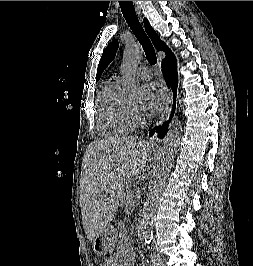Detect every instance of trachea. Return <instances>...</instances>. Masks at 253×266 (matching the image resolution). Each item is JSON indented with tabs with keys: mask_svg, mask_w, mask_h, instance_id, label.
Segmentation results:
<instances>
[{
	"mask_svg": "<svg viewBox=\"0 0 253 266\" xmlns=\"http://www.w3.org/2000/svg\"><path fill=\"white\" fill-rule=\"evenodd\" d=\"M122 14L128 23L130 29L135 34L139 43L142 45L146 58L150 64L155 65L157 63V57L155 49L145 33L142 25L140 24L135 12V8L132 1H119Z\"/></svg>",
	"mask_w": 253,
	"mask_h": 266,
	"instance_id": "1",
	"label": "trachea"
}]
</instances>
